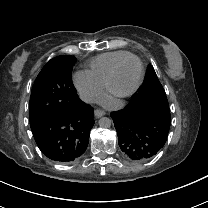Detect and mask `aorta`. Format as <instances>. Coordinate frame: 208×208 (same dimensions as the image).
<instances>
[{
    "instance_id": "aorta-1",
    "label": "aorta",
    "mask_w": 208,
    "mask_h": 208,
    "mask_svg": "<svg viewBox=\"0 0 208 208\" xmlns=\"http://www.w3.org/2000/svg\"><path fill=\"white\" fill-rule=\"evenodd\" d=\"M98 124L101 128H109L111 126V120L109 118L103 117L98 121Z\"/></svg>"
}]
</instances>
